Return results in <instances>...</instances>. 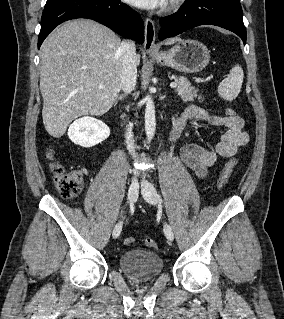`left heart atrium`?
Here are the masks:
<instances>
[{
    "label": "left heart atrium",
    "mask_w": 284,
    "mask_h": 319,
    "mask_svg": "<svg viewBox=\"0 0 284 319\" xmlns=\"http://www.w3.org/2000/svg\"><path fill=\"white\" fill-rule=\"evenodd\" d=\"M129 4L143 8V9H152L162 7L167 0H125Z\"/></svg>",
    "instance_id": "1"
}]
</instances>
